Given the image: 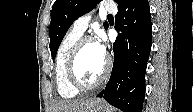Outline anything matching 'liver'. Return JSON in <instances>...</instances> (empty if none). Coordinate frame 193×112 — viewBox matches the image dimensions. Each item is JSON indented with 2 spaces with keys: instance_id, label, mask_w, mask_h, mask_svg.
<instances>
[{
  "instance_id": "liver-1",
  "label": "liver",
  "mask_w": 193,
  "mask_h": 112,
  "mask_svg": "<svg viewBox=\"0 0 193 112\" xmlns=\"http://www.w3.org/2000/svg\"><path fill=\"white\" fill-rule=\"evenodd\" d=\"M97 99L61 100L54 107L55 112H90Z\"/></svg>"
}]
</instances>
